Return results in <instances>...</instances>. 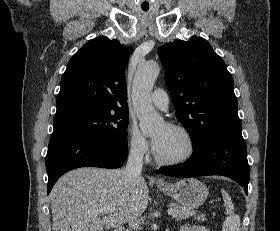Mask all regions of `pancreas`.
<instances>
[{
	"label": "pancreas",
	"instance_id": "1",
	"mask_svg": "<svg viewBox=\"0 0 280 231\" xmlns=\"http://www.w3.org/2000/svg\"><path fill=\"white\" fill-rule=\"evenodd\" d=\"M170 207L175 209L173 217H176V219H185V217H189V215H196V211H194V209H191V207H185V205H180V203H171ZM196 219L205 221V213H201V215H198Z\"/></svg>",
	"mask_w": 280,
	"mask_h": 231
}]
</instances>
